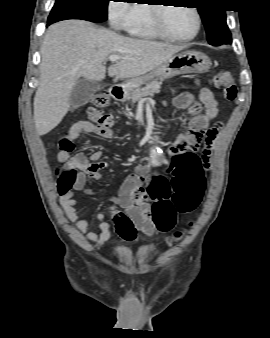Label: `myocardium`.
I'll return each instance as SVG.
<instances>
[{
  "instance_id": "myocardium-1",
  "label": "myocardium",
  "mask_w": 270,
  "mask_h": 338,
  "mask_svg": "<svg viewBox=\"0 0 270 338\" xmlns=\"http://www.w3.org/2000/svg\"><path fill=\"white\" fill-rule=\"evenodd\" d=\"M151 6V17H152V25L153 28L155 29V31L163 38L168 39L170 41H174V42H187V41H191L193 40L198 33L200 32V28H201V17L200 14L198 12V10L194 7H190L189 9H191L195 16H196V29L194 31V33L188 37H177L172 35L166 28L165 26V22H164V10L168 7H172V6H168V5H163V4H154V5H150Z\"/></svg>"
}]
</instances>
